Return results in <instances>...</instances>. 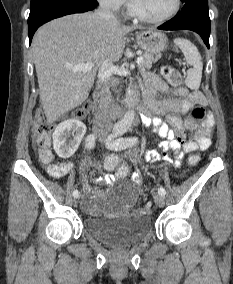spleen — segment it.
I'll return each mask as SVG.
<instances>
[{
  "mask_svg": "<svg viewBox=\"0 0 233 284\" xmlns=\"http://www.w3.org/2000/svg\"><path fill=\"white\" fill-rule=\"evenodd\" d=\"M174 43L182 50L187 63L192 66L187 72L186 85L198 89L202 78L203 63L197 47L186 39H175Z\"/></svg>",
  "mask_w": 233,
  "mask_h": 284,
  "instance_id": "1",
  "label": "spleen"
}]
</instances>
